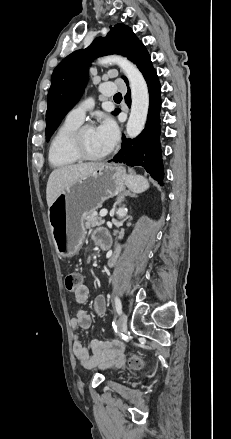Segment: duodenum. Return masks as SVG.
Wrapping results in <instances>:
<instances>
[{"instance_id":"duodenum-1","label":"duodenum","mask_w":231,"mask_h":439,"mask_svg":"<svg viewBox=\"0 0 231 439\" xmlns=\"http://www.w3.org/2000/svg\"><path fill=\"white\" fill-rule=\"evenodd\" d=\"M111 246V242L107 239H105L101 244L100 247L102 249H108Z\"/></svg>"}]
</instances>
